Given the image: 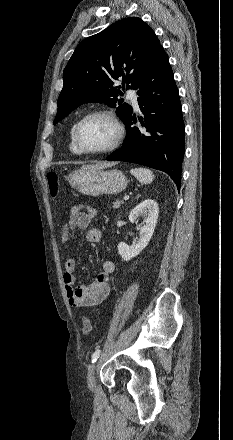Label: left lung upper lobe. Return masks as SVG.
I'll return each instance as SVG.
<instances>
[{"mask_svg":"<svg viewBox=\"0 0 233 440\" xmlns=\"http://www.w3.org/2000/svg\"><path fill=\"white\" fill-rule=\"evenodd\" d=\"M163 50L151 27L136 17L117 21L81 41L63 72L54 125L87 102L116 107L125 123L132 107L118 100L123 92L117 88L124 91L127 84L126 89H137ZM118 78H123V85L115 88Z\"/></svg>","mask_w":233,"mask_h":440,"instance_id":"5c2ea615","label":"left lung upper lobe"}]
</instances>
